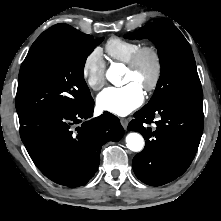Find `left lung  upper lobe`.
Listing matches in <instances>:
<instances>
[{"label": "left lung upper lobe", "mask_w": 221, "mask_h": 221, "mask_svg": "<svg viewBox=\"0 0 221 221\" xmlns=\"http://www.w3.org/2000/svg\"><path fill=\"white\" fill-rule=\"evenodd\" d=\"M125 38H148L158 49L161 75L148 104L162 98L203 102L201 83L192 49L170 20L155 19L142 29L127 34Z\"/></svg>", "instance_id": "left-lung-upper-lobe-1"}]
</instances>
